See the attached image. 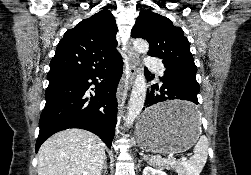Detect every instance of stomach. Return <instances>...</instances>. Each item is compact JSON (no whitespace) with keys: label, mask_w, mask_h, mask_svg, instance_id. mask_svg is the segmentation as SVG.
I'll use <instances>...</instances> for the list:
<instances>
[{"label":"stomach","mask_w":251,"mask_h":175,"mask_svg":"<svg viewBox=\"0 0 251 175\" xmlns=\"http://www.w3.org/2000/svg\"><path fill=\"white\" fill-rule=\"evenodd\" d=\"M192 100H161V105L146 109L140 115L135 135L151 154L181 153L197 141L201 129L199 114Z\"/></svg>","instance_id":"obj_1"}]
</instances>
